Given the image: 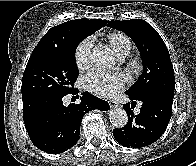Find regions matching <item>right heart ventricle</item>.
<instances>
[{
  "mask_svg": "<svg viewBox=\"0 0 196 166\" xmlns=\"http://www.w3.org/2000/svg\"><path fill=\"white\" fill-rule=\"evenodd\" d=\"M108 41L118 56L125 53L129 54L131 41L126 35L122 33H111L108 36Z\"/></svg>",
  "mask_w": 196,
  "mask_h": 166,
  "instance_id": "right-heart-ventricle-1",
  "label": "right heart ventricle"
}]
</instances>
